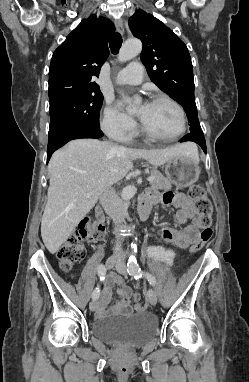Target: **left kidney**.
<instances>
[{"instance_id": "5707ae66", "label": "left kidney", "mask_w": 249, "mask_h": 382, "mask_svg": "<svg viewBox=\"0 0 249 382\" xmlns=\"http://www.w3.org/2000/svg\"><path fill=\"white\" fill-rule=\"evenodd\" d=\"M145 256L149 262V266L152 264V261H166L164 264L168 266L172 263L174 253L169 250L168 245H146L145 246ZM174 262V261H173Z\"/></svg>"}]
</instances>
